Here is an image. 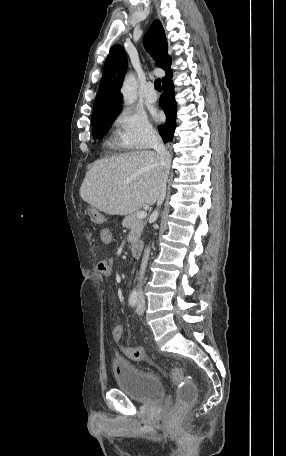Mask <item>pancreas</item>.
<instances>
[{
	"instance_id": "cf45deb5",
	"label": "pancreas",
	"mask_w": 286,
	"mask_h": 456,
	"mask_svg": "<svg viewBox=\"0 0 286 456\" xmlns=\"http://www.w3.org/2000/svg\"><path fill=\"white\" fill-rule=\"evenodd\" d=\"M122 226L124 228L130 229L128 235V242L134 243L139 241L141 233L143 231V220L136 217V213H131L127 215L122 221Z\"/></svg>"
}]
</instances>
